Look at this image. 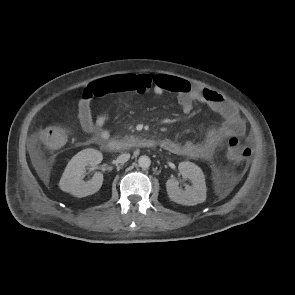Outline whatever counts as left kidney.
<instances>
[{"label": "left kidney", "instance_id": "5707ae66", "mask_svg": "<svg viewBox=\"0 0 295 295\" xmlns=\"http://www.w3.org/2000/svg\"><path fill=\"white\" fill-rule=\"evenodd\" d=\"M179 171L184 178H188L191 186L185 190L179 188L178 180L170 178L166 182V189L170 199L178 204L193 206L206 200L205 176L200 167L192 162L179 163Z\"/></svg>", "mask_w": 295, "mask_h": 295}]
</instances>
